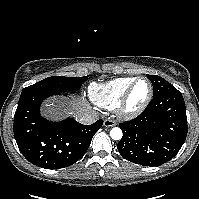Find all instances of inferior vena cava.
Here are the masks:
<instances>
[{
    "label": "inferior vena cava",
    "instance_id": "602c4592",
    "mask_svg": "<svg viewBox=\"0 0 199 199\" xmlns=\"http://www.w3.org/2000/svg\"><path fill=\"white\" fill-rule=\"evenodd\" d=\"M98 119H99V113L94 110L88 111L77 118L78 122L84 125L93 124Z\"/></svg>",
    "mask_w": 199,
    "mask_h": 199
}]
</instances>
